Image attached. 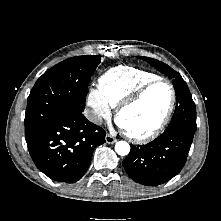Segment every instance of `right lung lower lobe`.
Masks as SVG:
<instances>
[{
	"label": "right lung lower lobe",
	"mask_w": 221,
	"mask_h": 221,
	"mask_svg": "<svg viewBox=\"0 0 221 221\" xmlns=\"http://www.w3.org/2000/svg\"><path fill=\"white\" fill-rule=\"evenodd\" d=\"M106 132L83 113L65 114L26 137L29 153L40 171L55 181L73 183L87 171L93 150Z\"/></svg>",
	"instance_id": "right-lung-lower-lobe-1"
}]
</instances>
